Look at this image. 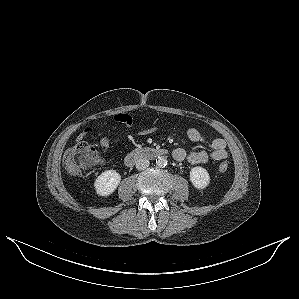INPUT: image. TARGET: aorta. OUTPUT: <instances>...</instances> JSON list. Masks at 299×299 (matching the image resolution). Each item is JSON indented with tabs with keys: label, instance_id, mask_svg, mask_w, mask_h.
Returning a JSON list of instances; mask_svg holds the SVG:
<instances>
[{
	"label": "aorta",
	"instance_id": "762f6f07",
	"mask_svg": "<svg viewBox=\"0 0 299 299\" xmlns=\"http://www.w3.org/2000/svg\"><path fill=\"white\" fill-rule=\"evenodd\" d=\"M156 165L158 167H165L167 165V159L164 156H158L156 158Z\"/></svg>",
	"mask_w": 299,
	"mask_h": 299
}]
</instances>
